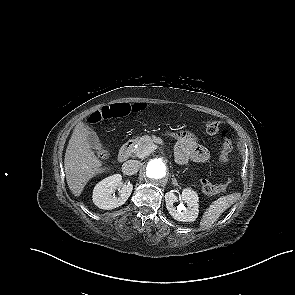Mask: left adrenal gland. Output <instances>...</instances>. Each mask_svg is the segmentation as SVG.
Segmentation results:
<instances>
[{"label": "left adrenal gland", "mask_w": 295, "mask_h": 295, "mask_svg": "<svg viewBox=\"0 0 295 295\" xmlns=\"http://www.w3.org/2000/svg\"><path fill=\"white\" fill-rule=\"evenodd\" d=\"M172 184H174L175 186H178L176 178H172Z\"/></svg>", "instance_id": "a2214340"}]
</instances>
